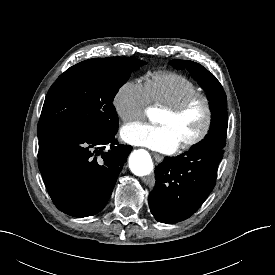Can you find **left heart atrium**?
I'll use <instances>...</instances> for the list:
<instances>
[{
	"label": "left heart atrium",
	"instance_id": "left-heart-atrium-1",
	"mask_svg": "<svg viewBox=\"0 0 275 275\" xmlns=\"http://www.w3.org/2000/svg\"><path fill=\"white\" fill-rule=\"evenodd\" d=\"M124 141L151 148L160 152H173L179 143L171 129L162 124L133 123L126 125L121 130Z\"/></svg>",
	"mask_w": 275,
	"mask_h": 275
}]
</instances>
